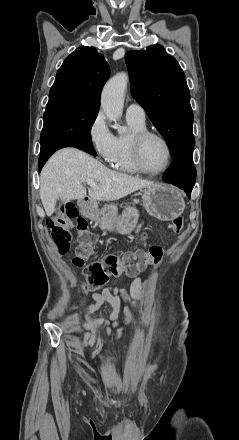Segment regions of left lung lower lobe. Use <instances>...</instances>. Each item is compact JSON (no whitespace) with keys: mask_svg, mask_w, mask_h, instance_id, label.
Segmentation results:
<instances>
[{"mask_svg":"<svg viewBox=\"0 0 239 440\" xmlns=\"http://www.w3.org/2000/svg\"><path fill=\"white\" fill-rule=\"evenodd\" d=\"M196 169L193 165V147H188L173 157L164 181L185 190L188 198L195 184Z\"/></svg>","mask_w":239,"mask_h":440,"instance_id":"1","label":"left lung lower lobe"}]
</instances>
